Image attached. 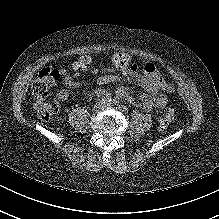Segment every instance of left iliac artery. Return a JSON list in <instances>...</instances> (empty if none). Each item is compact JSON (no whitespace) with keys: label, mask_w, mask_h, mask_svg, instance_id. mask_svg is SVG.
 I'll list each match as a JSON object with an SVG mask.
<instances>
[{"label":"left iliac artery","mask_w":219,"mask_h":219,"mask_svg":"<svg viewBox=\"0 0 219 219\" xmlns=\"http://www.w3.org/2000/svg\"><path fill=\"white\" fill-rule=\"evenodd\" d=\"M113 104L119 105L120 104V98H114L113 99Z\"/></svg>","instance_id":"left-iliac-artery-1"}]
</instances>
